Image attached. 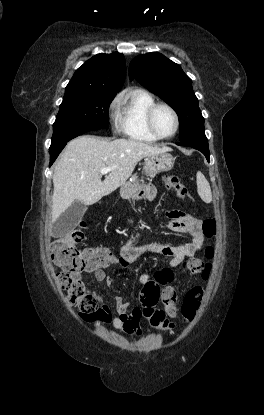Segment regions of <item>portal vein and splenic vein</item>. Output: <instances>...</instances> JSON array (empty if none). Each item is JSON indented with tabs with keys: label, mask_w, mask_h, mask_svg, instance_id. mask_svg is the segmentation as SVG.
<instances>
[{
	"label": "portal vein and splenic vein",
	"mask_w": 264,
	"mask_h": 415,
	"mask_svg": "<svg viewBox=\"0 0 264 415\" xmlns=\"http://www.w3.org/2000/svg\"><path fill=\"white\" fill-rule=\"evenodd\" d=\"M113 169H114V168H111V167H105V168H102V169L100 170V174H101V175L108 174V173H109V172H111Z\"/></svg>",
	"instance_id": "obj_1"
}]
</instances>
